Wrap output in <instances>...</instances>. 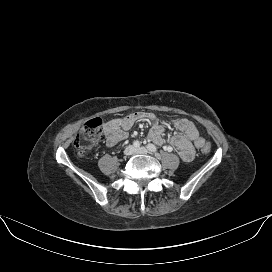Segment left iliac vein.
<instances>
[{
  "label": "left iliac vein",
  "mask_w": 272,
  "mask_h": 272,
  "mask_svg": "<svg viewBox=\"0 0 272 272\" xmlns=\"http://www.w3.org/2000/svg\"><path fill=\"white\" fill-rule=\"evenodd\" d=\"M135 154H148V150L145 147L136 148Z\"/></svg>",
  "instance_id": "left-iliac-vein-1"
}]
</instances>
